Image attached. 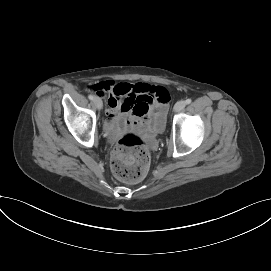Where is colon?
<instances>
[{
    "instance_id": "5ec220e1",
    "label": "colon",
    "mask_w": 271,
    "mask_h": 271,
    "mask_svg": "<svg viewBox=\"0 0 271 271\" xmlns=\"http://www.w3.org/2000/svg\"><path fill=\"white\" fill-rule=\"evenodd\" d=\"M94 90L97 86L93 87ZM150 153L141 138L124 135L112 153L111 169L116 178L127 183L142 180L150 166Z\"/></svg>"
}]
</instances>
